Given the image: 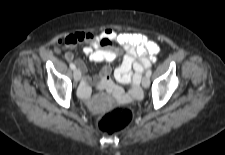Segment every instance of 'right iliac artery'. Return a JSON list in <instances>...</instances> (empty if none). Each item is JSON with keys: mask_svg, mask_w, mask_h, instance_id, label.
Here are the masks:
<instances>
[{"mask_svg": "<svg viewBox=\"0 0 225 155\" xmlns=\"http://www.w3.org/2000/svg\"><path fill=\"white\" fill-rule=\"evenodd\" d=\"M70 68H71L72 70H75V69H76V67H75V65H74L73 63H70Z\"/></svg>", "mask_w": 225, "mask_h": 155, "instance_id": "1", "label": "right iliac artery"}]
</instances>
